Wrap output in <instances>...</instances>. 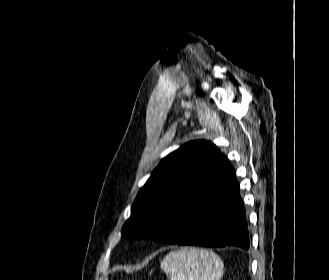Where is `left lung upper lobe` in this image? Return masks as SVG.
Returning <instances> with one entry per match:
<instances>
[{"label": "left lung upper lobe", "instance_id": "left-lung-upper-lobe-1", "mask_svg": "<svg viewBox=\"0 0 329 280\" xmlns=\"http://www.w3.org/2000/svg\"><path fill=\"white\" fill-rule=\"evenodd\" d=\"M229 168L226 157L211 142L183 145L160 162L142 187L122 236L161 241L160 231L176 223L208 189L219 187Z\"/></svg>", "mask_w": 329, "mask_h": 280}]
</instances>
